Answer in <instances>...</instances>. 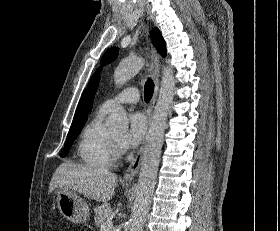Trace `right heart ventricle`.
<instances>
[{
	"label": "right heart ventricle",
	"mask_w": 280,
	"mask_h": 231,
	"mask_svg": "<svg viewBox=\"0 0 280 231\" xmlns=\"http://www.w3.org/2000/svg\"><path fill=\"white\" fill-rule=\"evenodd\" d=\"M104 114L98 111L83 128L77 143L79 160L89 168L106 169L111 163L113 144L102 122Z\"/></svg>",
	"instance_id": "right-heart-ventricle-1"
}]
</instances>
